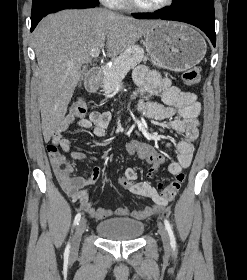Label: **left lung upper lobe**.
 I'll use <instances>...</instances> for the list:
<instances>
[{"label": "left lung upper lobe", "instance_id": "left-lung-upper-lobe-1", "mask_svg": "<svg viewBox=\"0 0 247 280\" xmlns=\"http://www.w3.org/2000/svg\"><path fill=\"white\" fill-rule=\"evenodd\" d=\"M196 6H214V0H175L172 9H184Z\"/></svg>", "mask_w": 247, "mask_h": 280}]
</instances>
